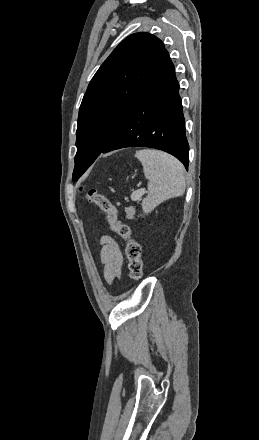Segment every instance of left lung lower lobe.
<instances>
[{"mask_svg":"<svg viewBox=\"0 0 259 440\" xmlns=\"http://www.w3.org/2000/svg\"><path fill=\"white\" fill-rule=\"evenodd\" d=\"M151 147L178 158L188 169L189 145L174 65L165 49L142 93L101 153Z\"/></svg>","mask_w":259,"mask_h":440,"instance_id":"0a47b994","label":"left lung lower lobe"}]
</instances>
